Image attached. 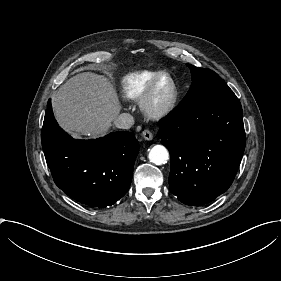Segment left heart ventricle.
<instances>
[{
    "label": "left heart ventricle",
    "mask_w": 281,
    "mask_h": 281,
    "mask_svg": "<svg viewBox=\"0 0 281 281\" xmlns=\"http://www.w3.org/2000/svg\"><path fill=\"white\" fill-rule=\"evenodd\" d=\"M171 83L168 79L163 80L157 87L155 99L158 104L165 103L171 94Z\"/></svg>",
    "instance_id": "left-heart-ventricle-1"
}]
</instances>
